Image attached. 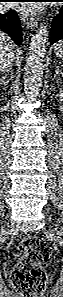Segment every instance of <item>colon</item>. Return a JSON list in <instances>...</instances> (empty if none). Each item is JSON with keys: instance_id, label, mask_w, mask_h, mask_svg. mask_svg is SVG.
I'll return each instance as SVG.
<instances>
[{"instance_id": "obj_1", "label": "colon", "mask_w": 63, "mask_h": 297, "mask_svg": "<svg viewBox=\"0 0 63 297\" xmlns=\"http://www.w3.org/2000/svg\"><path fill=\"white\" fill-rule=\"evenodd\" d=\"M21 262L12 279L13 286L24 297H42L47 285L45 266L50 260L47 243L29 236L20 244Z\"/></svg>"}]
</instances>
